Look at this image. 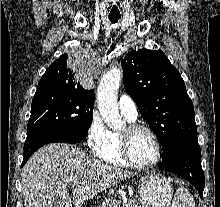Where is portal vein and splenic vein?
I'll list each match as a JSON object with an SVG mask.
<instances>
[{"label": "portal vein and splenic vein", "mask_w": 220, "mask_h": 207, "mask_svg": "<svg viewBox=\"0 0 220 207\" xmlns=\"http://www.w3.org/2000/svg\"><path fill=\"white\" fill-rule=\"evenodd\" d=\"M78 183H79L78 180H74V181L72 182L73 186H74V185H77ZM111 207H115V204L111 205Z\"/></svg>", "instance_id": "18ae733b"}]
</instances>
